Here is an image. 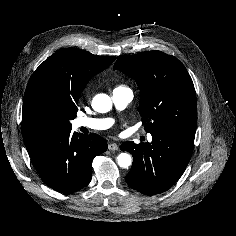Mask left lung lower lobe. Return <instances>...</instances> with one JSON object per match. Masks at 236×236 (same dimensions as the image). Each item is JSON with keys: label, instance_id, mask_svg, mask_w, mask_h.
<instances>
[{"label": "left lung lower lobe", "instance_id": "left-lung-lower-lobe-1", "mask_svg": "<svg viewBox=\"0 0 236 236\" xmlns=\"http://www.w3.org/2000/svg\"><path fill=\"white\" fill-rule=\"evenodd\" d=\"M151 143L121 145L133 156L126 182L138 192L151 196L172 187L184 173L194 147L195 134L182 131L151 133Z\"/></svg>", "mask_w": 236, "mask_h": 236}]
</instances>
